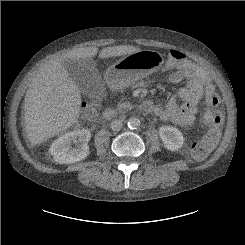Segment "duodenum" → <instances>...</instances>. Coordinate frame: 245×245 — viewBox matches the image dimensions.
I'll use <instances>...</instances> for the list:
<instances>
[{
    "label": "duodenum",
    "instance_id": "1",
    "mask_svg": "<svg viewBox=\"0 0 245 245\" xmlns=\"http://www.w3.org/2000/svg\"><path fill=\"white\" fill-rule=\"evenodd\" d=\"M110 83V82H109ZM113 84V83H111ZM144 107L148 111H152L153 109L156 108V105L153 101L151 100H146L144 102ZM123 113L122 111L116 110V109H106L103 112V119L104 120H112V119H117L119 118L120 114Z\"/></svg>",
    "mask_w": 245,
    "mask_h": 245
}]
</instances>
